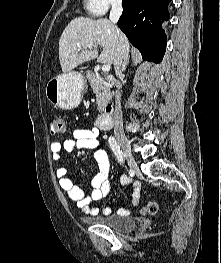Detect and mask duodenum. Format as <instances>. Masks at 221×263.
<instances>
[{"label": "duodenum", "instance_id": "duodenum-1", "mask_svg": "<svg viewBox=\"0 0 221 263\" xmlns=\"http://www.w3.org/2000/svg\"><path fill=\"white\" fill-rule=\"evenodd\" d=\"M113 125V106L108 104L103 111V114L99 117L97 126L101 130H108Z\"/></svg>", "mask_w": 221, "mask_h": 263}]
</instances>
